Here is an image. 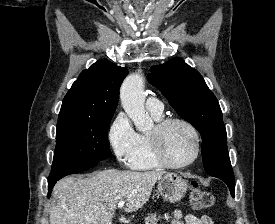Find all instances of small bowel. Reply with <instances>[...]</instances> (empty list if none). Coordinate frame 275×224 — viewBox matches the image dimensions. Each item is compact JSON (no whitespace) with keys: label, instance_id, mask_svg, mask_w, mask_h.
<instances>
[{"label":"small bowel","instance_id":"small-bowel-1","mask_svg":"<svg viewBox=\"0 0 275 224\" xmlns=\"http://www.w3.org/2000/svg\"><path fill=\"white\" fill-rule=\"evenodd\" d=\"M165 219L169 224H213L208 215L195 216L193 214H183L179 211L168 213Z\"/></svg>","mask_w":275,"mask_h":224}]
</instances>
